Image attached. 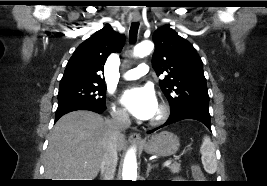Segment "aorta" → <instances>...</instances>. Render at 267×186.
<instances>
[{"instance_id": "aorta-1", "label": "aorta", "mask_w": 267, "mask_h": 186, "mask_svg": "<svg viewBox=\"0 0 267 186\" xmlns=\"http://www.w3.org/2000/svg\"><path fill=\"white\" fill-rule=\"evenodd\" d=\"M154 48V45L151 41H142L134 48V56L144 57L149 55ZM122 180H132L136 181L137 179V162L135 150L131 148L125 157L123 170H122Z\"/></svg>"}]
</instances>
